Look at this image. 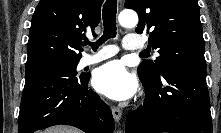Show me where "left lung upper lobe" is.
Returning a JSON list of instances; mask_svg holds the SVG:
<instances>
[{"mask_svg":"<svg viewBox=\"0 0 221 133\" xmlns=\"http://www.w3.org/2000/svg\"><path fill=\"white\" fill-rule=\"evenodd\" d=\"M125 7L138 13L136 32L149 33V46L160 54L139 65L142 76L155 78L174 64L206 68L197 0H126Z\"/></svg>","mask_w":221,"mask_h":133,"instance_id":"5c2ea615","label":"left lung upper lobe"}]
</instances>
